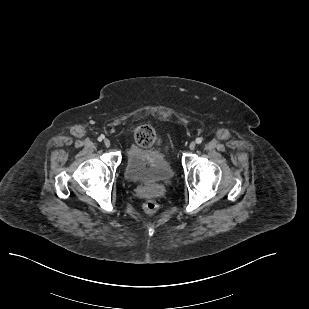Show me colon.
<instances>
[{"instance_id": "1", "label": "colon", "mask_w": 309, "mask_h": 309, "mask_svg": "<svg viewBox=\"0 0 309 309\" xmlns=\"http://www.w3.org/2000/svg\"><path fill=\"white\" fill-rule=\"evenodd\" d=\"M134 137L136 142L144 147L152 146L159 141L153 129L146 125L135 128ZM143 209L148 214H154L158 211L159 205L155 200H147L143 204Z\"/></svg>"}]
</instances>
